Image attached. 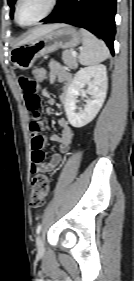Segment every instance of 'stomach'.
<instances>
[{
  "label": "stomach",
  "mask_w": 134,
  "mask_h": 281,
  "mask_svg": "<svg viewBox=\"0 0 134 281\" xmlns=\"http://www.w3.org/2000/svg\"><path fill=\"white\" fill-rule=\"evenodd\" d=\"M82 40V34L76 28L59 24L52 31L36 38L32 42L17 45L10 52L13 65L21 70L30 69L41 56L56 51L59 48L76 47Z\"/></svg>",
  "instance_id": "obj_1"
}]
</instances>
